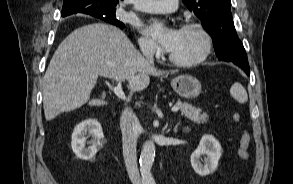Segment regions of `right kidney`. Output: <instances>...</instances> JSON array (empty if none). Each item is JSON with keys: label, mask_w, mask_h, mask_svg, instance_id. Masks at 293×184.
<instances>
[{"label": "right kidney", "mask_w": 293, "mask_h": 184, "mask_svg": "<svg viewBox=\"0 0 293 184\" xmlns=\"http://www.w3.org/2000/svg\"><path fill=\"white\" fill-rule=\"evenodd\" d=\"M87 135L92 137L90 142H87ZM104 135L101 124L94 119H89L78 124L72 133L71 147L77 158L89 161L102 147ZM91 144L88 148L85 145Z\"/></svg>", "instance_id": "1"}]
</instances>
